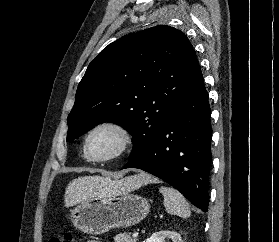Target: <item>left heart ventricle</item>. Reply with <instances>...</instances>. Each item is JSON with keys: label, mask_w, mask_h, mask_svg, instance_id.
<instances>
[{"label": "left heart ventricle", "mask_w": 279, "mask_h": 242, "mask_svg": "<svg viewBox=\"0 0 279 242\" xmlns=\"http://www.w3.org/2000/svg\"><path fill=\"white\" fill-rule=\"evenodd\" d=\"M119 141V135L115 131L110 129L99 130L89 141V153L95 158L108 156L117 149Z\"/></svg>", "instance_id": "1"}]
</instances>
